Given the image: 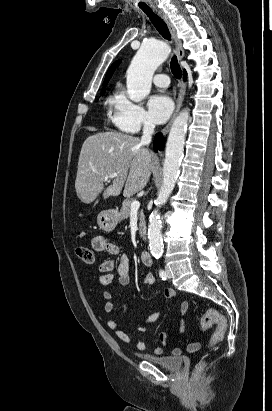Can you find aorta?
I'll return each mask as SVG.
<instances>
[{"instance_id":"762f6f07","label":"aorta","mask_w":272,"mask_h":411,"mask_svg":"<svg viewBox=\"0 0 272 411\" xmlns=\"http://www.w3.org/2000/svg\"><path fill=\"white\" fill-rule=\"evenodd\" d=\"M170 52L169 46L162 41H149L142 44L127 70V93L134 102L142 101L151 89L152 77ZM189 114L182 111L174 120L166 143L163 164V182L156 199L157 207L165 204L172 193L180 172L183 158L185 135ZM162 222L158 209L149 216L148 240L152 255L158 259L163 252Z\"/></svg>"}]
</instances>
